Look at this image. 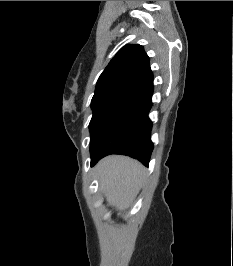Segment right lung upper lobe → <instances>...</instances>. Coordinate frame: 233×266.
<instances>
[{"label":"right lung upper lobe","mask_w":233,"mask_h":266,"mask_svg":"<svg viewBox=\"0 0 233 266\" xmlns=\"http://www.w3.org/2000/svg\"><path fill=\"white\" fill-rule=\"evenodd\" d=\"M153 91L149 57L141 45H126L100 75L92 99L125 92Z\"/></svg>","instance_id":"right-lung-upper-lobe-1"}]
</instances>
